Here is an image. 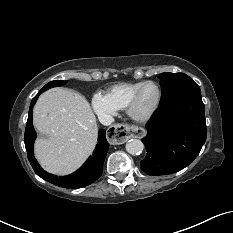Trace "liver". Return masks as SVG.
I'll return each instance as SVG.
<instances>
[{
  "mask_svg": "<svg viewBox=\"0 0 233 233\" xmlns=\"http://www.w3.org/2000/svg\"><path fill=\"white\" fill-rule=\"evenodd\" d=\"M43 134L35 143V157L48 172L67 175L78 169L97 143L96 117L81 94L54 88L40 95L33 113Z\"/></svg>",
  "mask_w": 233,
  "mask_h": 233,
  "instance_id": "liver-1",
  "label": "liver"
}]
</instances>
